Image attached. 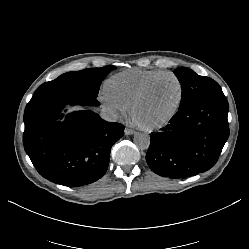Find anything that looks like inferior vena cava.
Masks as SVG:
<instances>
[{
  "label": "inferior vena cava",
  "instance_id": "602c4592",
  "mask_svg": "<svg viewBox=\"0 0 249 249\" xmlns=\"http://www.w3.org/2000/svg\"><path fill=\"white\" fill-rule=\"evenodd\" d=\"M100 117L108 122H117L118 114L116 111L109 107H102L100 111Z\"/></svg>",
  "mask_w": 249,
  "mask_h": 249
}]
</instances>
